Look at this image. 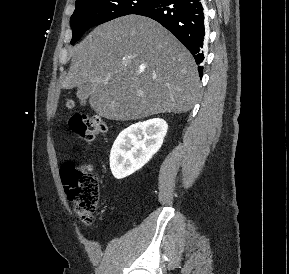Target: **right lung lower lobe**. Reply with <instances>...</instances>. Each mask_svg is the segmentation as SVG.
<instances>
[{"mask_svg": "<svg viewBox=\"0 0 289 274\" xmlns=\"http://www.w3.org/2000/svg\"><path fill=\"white\" fill-rule=\"evenodd\" d=\"M152 18L172 32L191 52L200 77L204 60L205 14L203 0H156L135 13Z\"/></svg>", "mask_w": 289, "mask_h": 274, "instance_id": "obj_1", "label": "right lung lower lobe"}]
</instances>
